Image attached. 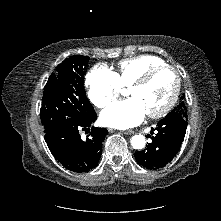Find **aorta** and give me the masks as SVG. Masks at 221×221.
I'll return each mask as SVG.
<instances>
[{
  "instance_id": "762f6f07",
  "label": "aorta",
  "mask_w": 221,
  "mask_h": 221,
  "mask_svg": "<svg viewBox=\"0 0 221 221\" xmlns=\"http://www.w3.org/2000/svg\"><path fill=\"white\" fill-rule=\"evenodd\" d=\"M146 141L145 137L141 134L134 135L131 138V145L134 149H143L145 147Z\"/></svg>"
}]
</instances>
